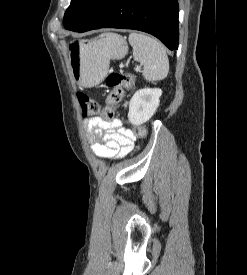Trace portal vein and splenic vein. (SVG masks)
I'll use <instances>...</instances> for the list:
<instances>
[{
	"mask_svg": "<svg viewBox=\"0 0 247 275\" xmlns=\"http://www.w3.org/2000/svg\"><path fill=\"white\" fill-rule=\"evenodd\" d=\"M137 70H140V67H137Z\"/></svg>",
	"mask_w": 247,
	"mask_h": 275,
	"instance_id": "18ae733b",
	"label": "portal vein and splenic vein"
}]
</instances>
